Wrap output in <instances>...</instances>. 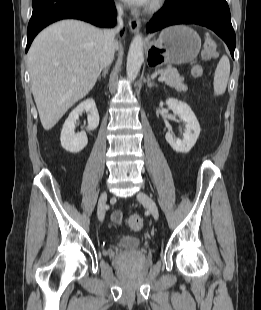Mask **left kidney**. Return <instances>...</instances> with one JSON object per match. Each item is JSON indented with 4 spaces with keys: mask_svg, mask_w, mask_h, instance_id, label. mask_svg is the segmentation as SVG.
I'll use <instances>...</instances> for the list:
<instances>
[{
    "mask_svg": "<svg viewBox=\"0 0 261 310\" xmlns=\"http://www.w3.org/2000/svg\"><path fill=\"white\" fill-rule=\"evenodd\" d=\"M166 103L173 113L178 115L185 123L186 127L182 140L175 138L170 132L166 133V140L176 152L188 153L199 137L201 130L199 122L191 108L185 102L169 98L166 100Z\"/></svg>",
    "mask_w": 261,
    "mask_h": 310,
    "instance_id": "obj_1",
    "label": "left kidney"
}]
</instances>
